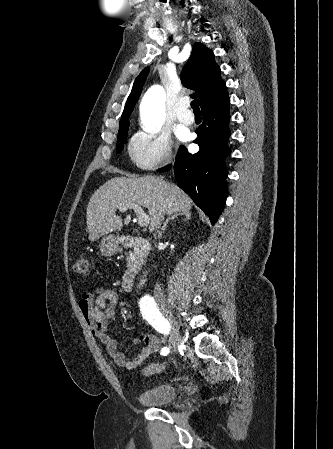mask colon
Returning <instances> with one entry per match:
<instances>
[{
    "instance_id": "colon-1",
    "label": "colon",
    "mask_w": 333,
    "mask_h": 449,
    "mask_svg": "<svg viewBox=\"0 0 333 449\" xmlns=\"http://www.w3.org/2000/svg\"><path fill=\"white\" fill-rule=\"evenodd\" d=\"M89 266L90 262L89 259L85 256L80 257L77 259L73 265V270L80 274V275H86L89 272ZM164 369V365L160 363H153L148 366H146L143 369L144 375H154L156 373L161 372Z\"/></svg>"
}]
</instances>
